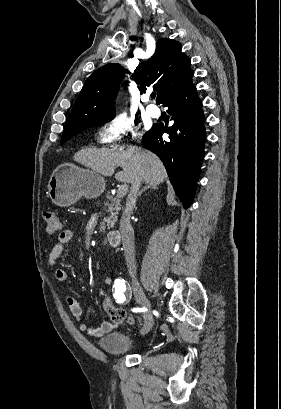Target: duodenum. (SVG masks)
<instances>
[{
  "label": "duodenum",
  "mask_w": 281,
  "mask_h": 409,
  "mask_svg": "<svg viewBox=\"0 0 281 409\" xmlns=\"http://www.w3.org/2000/svg\"><path fill=\"white\" fill-rule=\"evenodd\" d=\"M122 234L119 231H111L107 235L108 243L111 246H119L121 243Z\"/></svg>",
  "instance_id": "obj_1"
}]
</instances>
